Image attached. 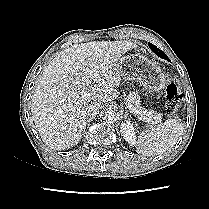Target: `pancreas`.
Listing matches in <instances>:
<instances>
[{
    "label": "pancreas",
    "instance_id": "cf45deb5",
    "mask_svg": "<svg viewBox=\"0 0 209 209\" xmlns=\"http://www.w3.org/2000/svg\"><path fill=\"white\" fill-rule=\"evenodd\" d=\"M125 103L137 111L134 115L137 116L139 120L153 125L161 122L162 120V114L153 110H146L141 107L140 96L137 91L130 92L125 98Z\"/></svg>",
    "mask_w": 209,
    "mask_h": 209
}]
</instances>
